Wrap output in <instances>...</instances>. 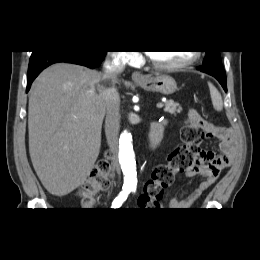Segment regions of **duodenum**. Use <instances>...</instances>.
<instances>
[{"mask_svg":"<svg viewBox=\"0 0 260 260\" xmlns=\"http://www.w3.org/2000/svg\"><path fill=\"white\" fill-rule=\"evenodd\" d=\"M163 128L164 122L154 121L151 123L148 135L145 140V146L147 150H153L159 145L163 135Z\"/></svg>","mask_w":260,"mask_h":260,"instance_id":"410a0bca","label":"duodenum"}]
</instances>
